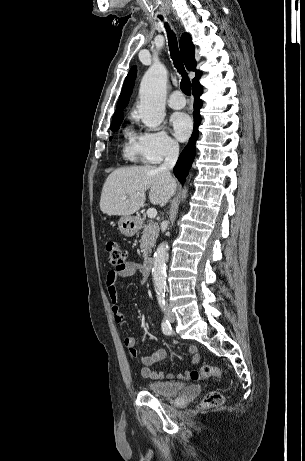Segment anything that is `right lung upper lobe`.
I'll return each instance as SVG.
<instances>
[{
  "mask_svg": "<svg viewBox=\"0 0 305 461\" xmlns=\"http://www.w3.org/2000/svg\"><path fill=\"white\" fill-rule=\"evenodd\" d=\"M180 51L183 62L186 68L190 71H195L196 61H195V46L192 43V38L188 33H183L180 38ZM201 77V71L196 70V77L192 80V85L199 81ZM136 78V66L132 67L129 71L117 103L116 112L113 115L112 123L123 120V110L127 106L129 98L132 93V88L134 85V80Z\"/></svg>",
  "mask_w": 305,
  "mask_h": 461,
  "instance_id": "cb5924a9",
  "label": "right lung upper lobe"
}]
</instances>
